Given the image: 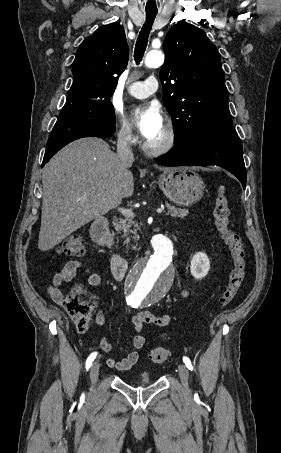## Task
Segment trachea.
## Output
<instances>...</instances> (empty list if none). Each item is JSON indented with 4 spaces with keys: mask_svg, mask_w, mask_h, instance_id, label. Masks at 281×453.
<instances>
[{
    "mask_svg": "<svg viewBox=\"0 0 281 453\" xmlns=\"http://www.w3.org/2000/svg\"><path fill=\"white\" fill-rule=\"evenodd\" d=\"M157 13L146 12V21L139 33L135 45L134 59L136 63L142 60L147 47L148 37Z\"/></svg>",
    "mask_w": 281,
    "mask_h": 453,
    "instance_id": "3493384b",
    "label": "trachea"
}]
</instances>
